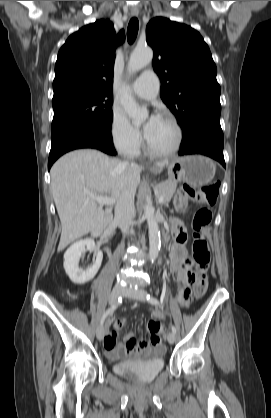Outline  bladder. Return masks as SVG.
<instances>
[{"instance_id": "31cf9c89", "label": "bladder", "mask_w": 271, "mask_h": 418, "mask_svg": "<svg viewBox=\"0 0 271 418\" xmlns=\"http://www.w3.org/2000/svg\"><path fill=\"white\" fill-rule=\"evenodd\" d=\"M165 360L163 352L153 353L149 358L140 362L119 361L114 370L120 375H136L141 382L154 380L164 369Z\"/></svg>"}]
</instances>
